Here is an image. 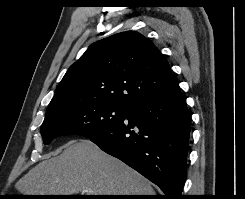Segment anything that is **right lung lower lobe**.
<instances>
[{
	"label": "right lung lower lobe",
	"mask_w": 245,
	"mask_h": 199,
	"mask_svg": "<svg viewBox=\"0 0 245 199\" xmlns=\"http://www.w3.org/2000/svg\"><path fill=\"white\" fill-rule=\"evenodd\" d=\"M190 129L191 115L177 85L129 107L118 122L88 138L159 186L165 199H182Z\"/></svg>",
	"instance_id": "obj_1"
}]
</instances>
